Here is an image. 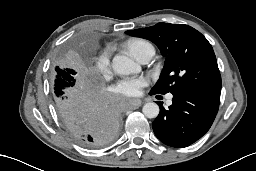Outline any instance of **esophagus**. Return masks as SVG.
I'll list each match as a JSON object with an SVG mask.
<instances>
[{"instance_id": "34e87169", "label": "esophagus", "mask_w": 256, "mask_h": 171, "mask_svg": "<svg viewBox=\"0 0 256 171\" xmlns=\"http://www.w3.org/2000/svg\"><path fill=\"white\" fill-rule=\"evenodd\" d=\"M142 105L141 100H130L127 104L129 109H136Z\"/></svg>"}]
</instances>
